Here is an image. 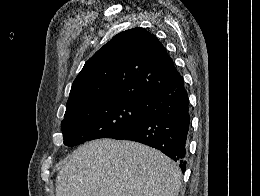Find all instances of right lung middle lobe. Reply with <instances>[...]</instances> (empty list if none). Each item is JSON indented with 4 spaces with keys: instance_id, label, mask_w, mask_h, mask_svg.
Listing matches in <instances>:
<instances>
[{
    "instance_id": "right-lung-middle-lobe-1",
    "label": "right lung middle lobe",
    "mask_w": 260,
    "mask_h": 196,
    "mask_svg": "<svg viewBox=\"0 0 260 196\" xmlns=\"http://www.w3.org/2000/svg\"><path fill=\"white\" fill-rule=\"evenodd\" d=\"M138 104L126 96H106L67 106L61 123L64 144L72 147L121 134L147 118Z\"/></svg>"
}]
</instances>
